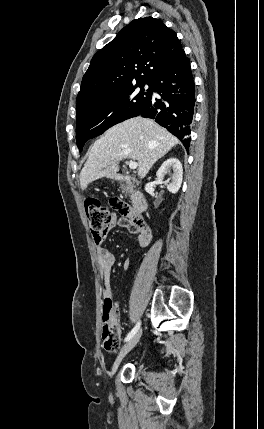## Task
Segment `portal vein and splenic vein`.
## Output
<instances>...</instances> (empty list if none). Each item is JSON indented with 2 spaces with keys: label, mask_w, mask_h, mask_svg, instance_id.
Wrapping results in <instances>:
<instances>
[{
  "label": "portal vein and splenic vein",
  "mask_w": 264,
  "mask_h": 429,
  "mask_svg": "<svg viewBox=\"0 0 264 429\" xmlns=\"http://www.w3.org/2000/svg\"><path fill=\"white\" fill-rule=\"evenodd\" d=\"M137 167H138L137 162H135V161H130V163H129V168H130V169L135 170Z\"/></svg>",
  "instance_id": "obj_1"
}]
</instances>
